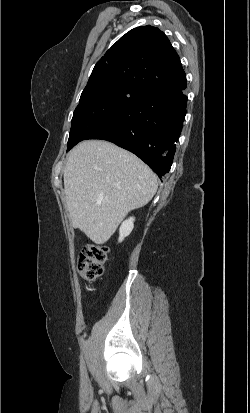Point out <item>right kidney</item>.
<instances>
[{
    "instance_id": "ca27d5eb",
    "label": "right kidney",
    "mask_w": 250,
    "mask_h": 413,
    "mask_svg": "<svg viewBox=\"0 0 250 413\" xmlns=\"http://www.w3.org/2000/svg\"><path fill=\"white\" fill-rule=\"evenodd\" d=\"M134 220V217H130L121 224L119 229V242H122L124 238L132 232L134 228Z\"/></svg>"
}]
</instances>
